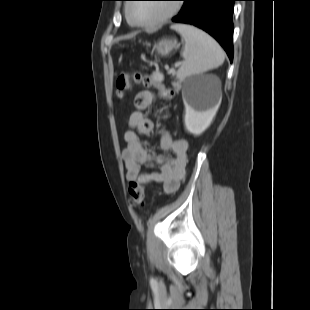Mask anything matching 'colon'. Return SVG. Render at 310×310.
Masks as SVG:
<instances>
[{"mask_svg":"<svg viewBox=\"0 0 310 310\" xmlns=\"http://www.w3.org/2000/svg\"><path fill=\"white\" fill-rule=\"evenodd\" d=\"M133 85H142L147 88L154 87L163 99H171L174 95L173 90L163 84L160 73L145 74L140 71H133L122 72L117 76L115 82L117 96L119 98L125 97ZM128 194L133 205L139 207L145 199V186L135 181L130 182Z\"/></svg>","mask_w":310,"mask_h":310,"instance_id":"1","label":"colon"}]
</instances>
